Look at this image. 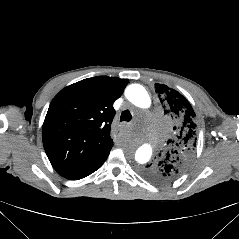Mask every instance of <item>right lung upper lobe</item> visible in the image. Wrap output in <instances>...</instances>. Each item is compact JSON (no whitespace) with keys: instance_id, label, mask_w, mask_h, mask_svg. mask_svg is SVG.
<instances>
[{"instance_id":"right-lung-upper-lobe-1","label":"right lung upper lobe","mask_w":239,"mask_h":239,"mask_svg":"<svg viewBox=\"0 0 239 239\" xmlns=\"http://www.w3.org/2000/svg\"><path fill=\"white\" fill-rule=\"evenodd\" d=\"M128 82L97 76L67 86L54 97L43 123L42 140L50 163L61 176L80 169L113 146V103Z\"/></svg>"}]
</instances>
